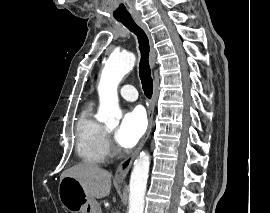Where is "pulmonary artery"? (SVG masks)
Listing matches in <instances>:
<instances>
[{
	"mask_svg": "<svg viewBox=\"0 0 270 213\" xmlns=\"http://www.w3.org/2000/svg\"><path fill=\"white\" fill-rule=\"evenodd\" d=\"M120 95L123 99L134 102L138 99L137 90L131 85H125L120 89Z\"/></svg>",
	"mask_w": 270,
	"mask_h": 213,
	"instance_id": "1",
	"label": "pulmonary artery"
}]
</instances>
